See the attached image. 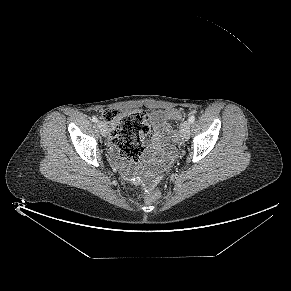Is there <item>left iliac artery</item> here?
I'll use <instances>...</instances> for the list:
<instances>
[{"label": "left iliac artery", "mask_w": 291, "mask_h": 291, "mask_svg": "<svg viewBox=\"0 0 291 291\" xmlns=\"http://www.w3.org/2000/svg\"><path fill=\"white\" fill-rule=\"evenodd\" d=\"M188 121L189 123H193L195 121V116L194 115L190 116Z\"/></svg>", "instance_id": "44dca946"}]
</instances>
